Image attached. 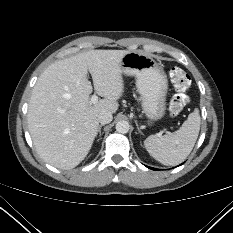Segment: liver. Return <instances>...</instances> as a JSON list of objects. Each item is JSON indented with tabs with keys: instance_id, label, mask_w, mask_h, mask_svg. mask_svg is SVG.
I'll return each mask as SVG.
<instances>
[{
	"instance_id": "obj_1",
	"label": "liver",
	"mask_w": 233,
	"mask_h": 233,
	"mask_svg": "<svg viewBox=\"0 0 233 233\" xmlns=\"http://www.w3.org/2000/svg\"><path fill=\"white\" fill-rule=\"evenodd\" d=\"M126 50H91L52 63L38 78L28 107V129L40 157L60 169L76 167L89 153L102 111L115 113L124 89ZM94 90L104 97L90 101Z\"/></svg>"
}]
</instances>
